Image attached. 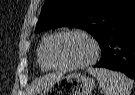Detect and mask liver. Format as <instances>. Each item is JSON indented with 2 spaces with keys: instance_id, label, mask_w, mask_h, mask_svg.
Instances as JSON below:
<instances>
[{
  "instance_id": "6515ba94",
  "label": "liver",
  "mask_w": 135,
  "mask_h": 95,
  "mask_svg": "<svg viewBox=\"0 0 135 95\" xmlns=\"http://www.w3.org/2000/svg\"><path fill=\"white\" fill-rule=\"evenodd\" d=\"M59 74H49L44 76L42 79H39L33 86L31 93H36L40 91L41 88L45 87L50 81L59 78Z\"/></svg>"
}]
</instances>
